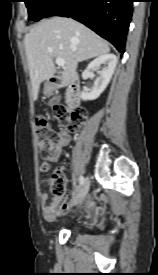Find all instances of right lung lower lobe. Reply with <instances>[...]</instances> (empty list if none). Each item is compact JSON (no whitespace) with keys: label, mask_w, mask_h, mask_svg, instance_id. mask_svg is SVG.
I'll list each match as a JSON object with an SVG mask.
<instances>
[{"label":"right lung lower lobe","mask_w":158,"mask_h":275,"mask_svg":"<svg viewBox=\"0 0 158 275\" xmlns=\"http://www.w3.org/2000/svg\"><path fill=\"white\" fill-rule=\"evenodd\" d=\"M133 0H60L44 16L72 17L124 53Z\"/></svg>","instance_id":"98d812e1"}]
</instances>
